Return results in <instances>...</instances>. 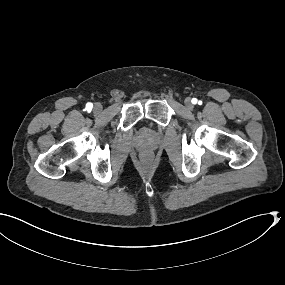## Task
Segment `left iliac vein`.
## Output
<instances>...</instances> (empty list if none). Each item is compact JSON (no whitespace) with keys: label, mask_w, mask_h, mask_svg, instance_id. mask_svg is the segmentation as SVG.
<instances>
[{"label":"left iliac vein","mask_w":285,"mask_h":285,"mask_svg":"<svg viewBox=\"0 0 285 285\" xmlns=\"http://www.w3.org/2000/svg\"><path fill=\"white\" fill-rule=\"evenodd\" d=\"M185 106L187 109L192 110L194 105L192 104V101L190 98L185 99Z\"/></svg>","instance_id":"1"}]
</instances>
